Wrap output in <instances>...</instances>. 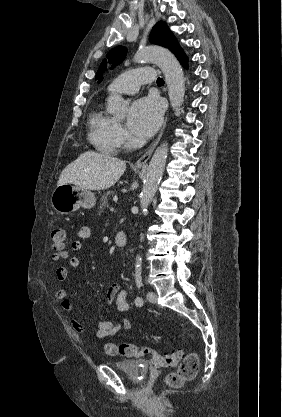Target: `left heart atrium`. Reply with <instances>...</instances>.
Here are the masks:
<instances>
[{
	"mask_svg": "<svg viewBox=\"0 0 282 417\" xmlns=\"http://www.w3.org/2000/svg\"><path fill=\"white\" fill-rule=\"evenodd\" d=\"M162 106L156 98H143L136 101L129 113L128 128L139 136H149L159 127L162 120Z\"/></svg>",
	"mask_w": 282,
	"mask_h": 417,
	"instance_id": "obj_1",
	"label": "left heart atrium"
}]
</instances>
